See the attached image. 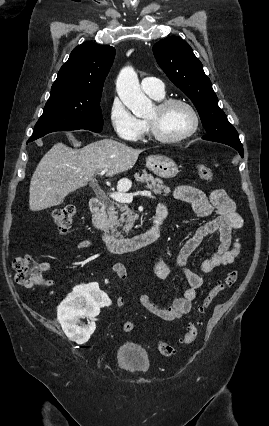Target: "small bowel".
<instances>
[{
  "label": "small bowel",
  "instance_id": "obj_1",
  "mask_svg": "<svg viewBox=\"0 0 269 426\" xmlns=\"http://www.w3.org/2000/svg\"><path fill=\"white\" fill-rule=\"evenodd\" d=\"M173 196L177 200L190 204L195 214L205 221L184 242L176 261V266L183 273L189 285L183 296L176 298L169 306L158 304L147 294H141L137 298L138 303L146 311L165 321L177 320L188 314L197 298L198 290L203 286V278L186 268L188 258L198 248L202 240L208 235L217 234L220 241L217 251L201 266L202 272L209 274L219 266L233 263L240 255L241 242L235 240L232 233L244 226V219L237 212L235 203L223 189H215L209 195H206L198 188L181 185L174 188ZM158 206L164 205L159 204ZM213 214L215 215L213 216ZM91 245L92 241L83 240L77 244V248L86 249ZM50 268L51 265L48 262L42 263L44 272L49 271ZM111 272L123 283L128 281V273L124 264L114 263L111 266ZM155 273L161 279H165L169 275V269L162 259L156 261ZM43 285L51 287L53 283L47 280L44 281ZM115 303L120 308L127 305V301L123 297H117Z\"/></svg>",
  "mask_w": 269,
  "mask_h": 426
}]
</instances>
